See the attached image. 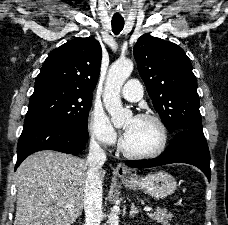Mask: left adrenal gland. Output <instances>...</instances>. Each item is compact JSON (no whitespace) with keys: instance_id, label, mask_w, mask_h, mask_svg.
Returning <instances> with one entry per match:
<instances>
[{"instance_id":"obj_1","label":"left adrenal gland","mask_w":228,"mask_h":225,"mask_svg":"<svg viewBox=\"0 0 228 225\" xmlns=\"http://www.w3.org/2000/svg\"><path fill=\"white\" fill-rule=\"evenodd\" d=\"M137 213H139V211L138 209H136L134 203H132L131 209H130V217H134V215H137Z\"/></svg>"}]
</instances>
